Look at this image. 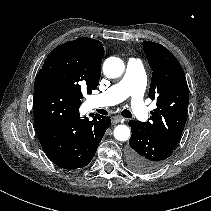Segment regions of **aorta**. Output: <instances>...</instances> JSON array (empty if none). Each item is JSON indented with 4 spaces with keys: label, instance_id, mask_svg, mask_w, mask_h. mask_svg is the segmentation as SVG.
Here are the masks:
<instances>
[{
    "label": "aorta",
    "instance_id": "762f6f07",
    "mask_svg": "<svg viewBox=\"0 0 211 211\" xmlns=\"http://www.w3.org/2000/svg\"><path fill=\"white\" fill-rule=\"evenodd\" d=\"M125 70L124 62L117 57H109L103 64V72L108 78H117ZM130 128L127 125L120 124L114 129V137L118 141H126L130 138Z\"/></svg>",
    "mask_w": 211,
    "mask_h": 211
}]
</instances>
